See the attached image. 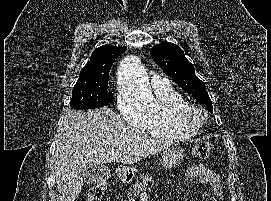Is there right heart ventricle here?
<instances>
[{"label": "right heart ventricle", "instance_id": "e07e8e85", "mask_svg": "<svg viewBox=\"0 0 271 201\" xmlns=\"http://www.w3.org/2000/svg\"><path fill=\"white\" fill-rule=\"evenodd\" d=\"M155 95L159 103L157 110L145 114L142 127L149 135L168 140L194 137L199 127L183 122L175 114L177 107L187 102L182 95L169 85L156 86Z\"/></svg>", "mask_w": 271, "mask_h": 201}]
</instances>
